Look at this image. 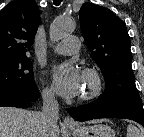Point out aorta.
<instances>
[{"mask_svg": "<svg viewBox=\"0 0 144 137\" xmlns=\"http://www.w3.org/2000/svg\"><path fill=\"white\" fill-rule=\"evenodd\" d=\"M74 22L70 18L58 17L50 26V40L57 42L74 30Z\"/></svg>", "mask_w": 144, "mask_h": 137, "instance_id": "aorta-1", "label": "aorta"}]
</instances>
